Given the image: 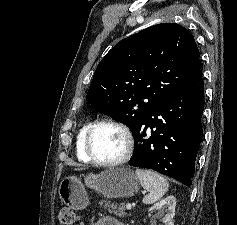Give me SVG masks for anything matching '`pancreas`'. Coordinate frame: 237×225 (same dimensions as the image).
<instances>
[{
	"mask_svg": "<svg viewBox=\"0 0 237 225\" xmlns=\"http://www.w3.org/2000/svg\"><path fill=\"white\" fill-rule=\"evenodd\" d=\"M99 204L103 205L105 210L107 209L110 213H114L119 217H124L126 215L124 204L111 203L110 201L106 200H102L99 202Z\"/></svg>",
	"mask_w": 237,
	"mask_h": 225,
	"instance_id": "obj_1",
	"label": "pancreas"
}]
</instances>
